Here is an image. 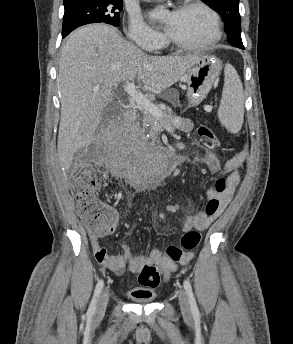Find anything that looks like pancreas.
I'll return each instance as SVG.
<instances>
[{
	"label": "pancreas",
	"mask_w": 293,
	"mask_h": 344,
	"mask_svg": "<svg viewBox=\"0 0 293 344\" xmlns=\"http://www.w3.org/2000/svg\"><path fill=\"white\" fill-rule=\"evenodd\" d=\"M163 114V123L160 119H157L150 115L149 113L143 112L142 114V126L140 123H137L134 126V129L132 131L136 130L137 132L144 133L146 130H151L153 132L152 139H157V134L160 130H162L166 124H172L175 120V117L172 115V110L170 108H166L164 110H161ZM181 124L177 125V128L181 129ZM131 131V130H130ZM123 136H125L128 131L121 130L119 132Z\"/></svg>",
	"instance_id": "obj_1"
}]
</instances>
